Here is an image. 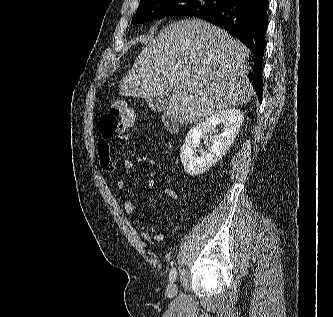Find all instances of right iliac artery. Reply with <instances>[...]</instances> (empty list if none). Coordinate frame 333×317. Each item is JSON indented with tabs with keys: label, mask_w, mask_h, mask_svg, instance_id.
I'll return each mask as SVG.
<instances>
[{
	"label": "right iliac artery",
	"mask_w": 333,
	"mask_h": 317,
	"mask_svg": "<svg viewBox=\"0 0 333 317\" xmlns=\"http://www.w3.org/2000/svg\"><path fill=\"white\" fill-rule=\"evenodd\" d=\"M176 277H177V271L175 268H172L169 274V281L174 282L176 280Z\"/></svg>",
	"instance_id": "right-iliac-artery-1"
}]
</instances>
